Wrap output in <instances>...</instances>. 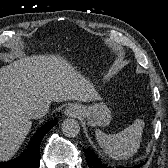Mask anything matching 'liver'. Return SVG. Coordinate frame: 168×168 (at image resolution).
Masks as SVG:
<instances>
[{"instance_id":"6515ba94","label":"liver","mask_w":168,"mask_h":168,"mask_svg":"<svg viewBox=\"0 0 168 168\" xmlns=\"http://www.w3.org/2000/svg\"><path fill=\"white\" fill-rule=\"evenodd\" d=\"M94 86L60 56L34 55L0 68V161L20 148L32 122L29 111L41 103L93 101Z\"/></svg>"}]
</instances>
